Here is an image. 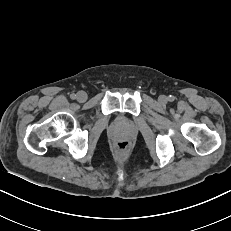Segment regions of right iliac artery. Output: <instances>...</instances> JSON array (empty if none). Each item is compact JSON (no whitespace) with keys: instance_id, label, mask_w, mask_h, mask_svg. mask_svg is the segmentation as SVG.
<instances>
[{"instance_id":"82829eb1","label":"right iliac artery","mask_w":231,"mask_h":231,"mask_svg":"<svg viewBox=\"0 0 231 231\" xmlns=\"http://www.w3.org/2000/svg\"><path fill=\"white\" fill-rule=\"evenodd\" d=\"M71 99H75L76 98V95L75 94H71Z\"/></svg>"}]
</instances>
